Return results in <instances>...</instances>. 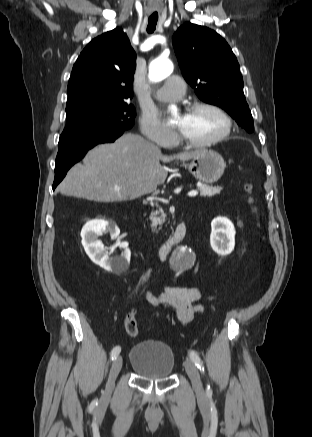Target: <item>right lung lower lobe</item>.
<instances>
[{
	"label": "right lung lower lobe",
	"mask_w": 312,
	"mask_h": 437,
	"mask_svg": "<svg viewBox=\"0 0 312 437\" xmlns=\"http://www.w3.org/2000/svg\"><path fill=\"white\" fill-rule=\"evenodd\" d=\"M122 133L93 138L85 142L79 143L67 149H60L58 151L55 161V179L53 183V190L65 177L67 171L79 160H81L87 151L100 143L114 142Z\"/></svg>",
	"instance_id": "right-lung-lower-lobe-1"
}]
</instances>
